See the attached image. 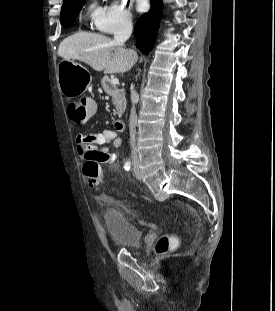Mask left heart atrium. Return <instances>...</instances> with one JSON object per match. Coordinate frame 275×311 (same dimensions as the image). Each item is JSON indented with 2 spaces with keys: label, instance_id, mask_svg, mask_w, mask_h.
<instances>
[{
  "label": "left heart atrium",
  "instance_id": "left-heart-atrium-1",
  "mask_svg": "<svg viewBox=\"0 0 275 311\" xmlns=\"http://www.w3.org/2000/svg\"><path fill=\"white\" fill-rule=\"evenodd\" d=\"M147 6L146 0H136V8L138 11H143Z\"/></svg>",
  "mask_w": 275,
  "mask_h": 311
}]
</instances>
